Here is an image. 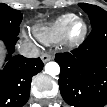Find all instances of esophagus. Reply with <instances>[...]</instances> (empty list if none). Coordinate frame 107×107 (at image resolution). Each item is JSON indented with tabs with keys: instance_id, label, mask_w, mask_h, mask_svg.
Instances as JSON below:
<instances>
[{
	"instance_id": "esophagus-1",
	"label": "esophagus",
	"mask_w": 107,
	"mask_h": 107,
	"mask_svg": "<svg viewBox=\"0 0 107 107\" xmlns=\"http://www.w3.org/2000/svg\"><path fill=\"white\" fill-rule=\"evenodd\" d=\"M41 59H42V61H43L44 63H46V62L52 60V59H53V56L50 55V54H48V53H43V54L41 55Z\"/></svg>"
}]
</instances>
